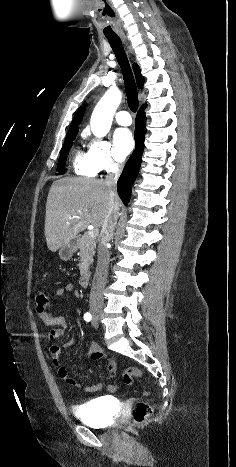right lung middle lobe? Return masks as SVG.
<instances>
[{
    "label": "right lung middle lobe",
    "mask_w": 236,
    "mask_h": 467,
    "mask_svg": "<svg viewBox=\"0 0 236 467\" xmlns=\"http://www.w3.org/2000/svg\"><path fill=\"white\" fill-rule=\"evenodd\" d=\"M76 135L77 133H73V134H68L66 136V140L61 149L60 158H59L58 166H57V171H59L60 174L65 172L64 167H65L66 157H67L68 152L70 151V148L72 147L73 140L75 139Z\"/></svg>",
    "instance_id": "1"
}]
</instances>
